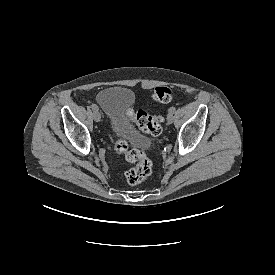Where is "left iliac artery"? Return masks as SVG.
Wrapping results in <instances>:
<instances>
[{"instance_id": "left-iliac-artery-1", "label": "left iliac artery", "mask_w": 275, "mask_h": 275, "mask_svg": "<svg viewBox=\"0 0 275 275\" xmlns=\"http://www.w3.org/2000/svg\"><path fill=\"white\" fill-rule=\"evenodd\" d=\"M169 113H174L175 112V107H170L168 110Z\"/></svg>"}]
</instances>
